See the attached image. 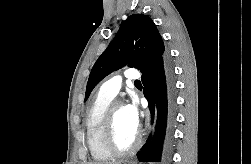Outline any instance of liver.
I'll return each mask as SVG.
<instances>
[{
  "label": "liver",
  "instance_id": "obj_1",
  "mask_svg": "<svg viewBox=\"0 0 251 164\" xmlns=\"http://www.w3.org/2000/svg\"><path fill=\"white\" fill-rule=\"evenodd\" d=\"M89 164H119V163H116V162H106V163H89Z\"/></svg>",
  "mask_w": 251,
  "mask_h": 164
}]
</instances>
